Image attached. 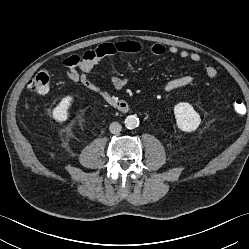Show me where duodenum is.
<instances>
[{
  "label": "duodenum",
  "instance_id": "1",
  "mask_svg": "<svg viewBox=\"0 0 249 249\" xmlns=\"http://www.w3.org/2000/svg\"><path fill=\"white\" fill-rule=\"evenodd\" d=\"M104 99L119 112L125 113L129 110V104L121 98L107 93L104 95Z\"/></svg>",
  "mask_w": 249,
  "mask_h": 249
}]
</instances>
